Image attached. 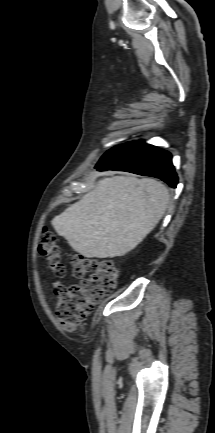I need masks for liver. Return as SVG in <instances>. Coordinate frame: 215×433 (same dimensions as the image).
I'll use <instances>...</instances> for the list:
<instances>
[{"instance_id": "1", "label": "liver", "mask_w": 215, "mask_h": 433, "mask_svg": "<svg viewBox=\"0 0 215 433\" xmlns=\"http://www.w3.org/2000/svg\"><path fill=\"white\" fill-rule=\"evenodd\" d=\"M170 196L152 178L100 180L80 201L53 218L52 226L87 258H113L133 250L163 217Z\"/></svg>"}]
</instances>
